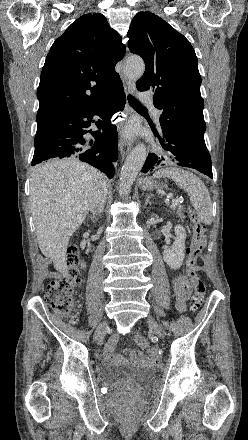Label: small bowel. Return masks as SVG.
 I'll list each match as a JSON object with an SVG mask.
<instances>
[{
  "instance_id": "obj_1",
  "label": "small bowel",
  "mask_w": 248,
  "mask_h": 440,
  "mask_svg": "<svg viewBox=\"0 0 248 440\" xmlns=\"http://www.w3.org/2000/svg\"><path fill=\"white\" fill-rule=\"evenodd\" d=\"M173 289L177 300V309L179 311H184L186 309V303L191 291L190 283L187 277L179 273L176 274L173 277ZM117 342V335L112 336L108 341L106 356L109 360H113L115 358L114 350ZM122 343L126 346L129 342L125 339ZM154 355V352L150 354V357H147L144 353H138L137 355H133V358L143 363L150 362L153 365H157L158 362Z\"/></svg>"
}]
</instances>
